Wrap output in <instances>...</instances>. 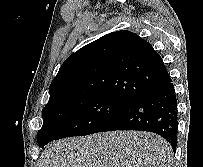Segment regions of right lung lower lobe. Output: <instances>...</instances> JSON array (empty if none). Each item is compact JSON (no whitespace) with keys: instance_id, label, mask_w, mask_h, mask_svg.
I'll use <instances>...</instances> for the list:
<instances>
[{"instance_id":"obj_1","label":"right lung lower lobe","mask_w":203,"mask_h":167,"mask_svg":"<svg viewBox=\"0 0 203 167\" xmlns=\"http://www.w3.org/2000/svg\"><path fill=\"white\" fill-rule=\"evenodd\" d=\"M115 130L150 131L166 139L173 151L177 145V99L170 77L165 83L140 95L95 133Z\"/></svg>"}]
</instances>
